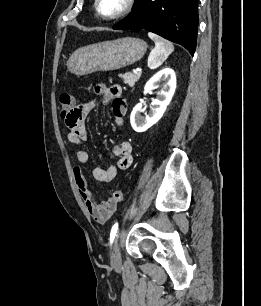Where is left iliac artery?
Wrapping results in <instances>:
<instances>
[{"mask_svg":"<svg viewBox=\"0 0 261 306\" xmlns=\"http://www.w3.org/2000/svg\"><path fill=\"white\" fill-rule=\"evenodd\" d=\"M118 231V223H115L111 229L110 232V244L112 245V243L114 242L115 236L117 234Z\"/></svg>","mask_w":261,"mask_h":306,"instance_id":"44dca946","label":"left iliac artery"}]
</instances>
